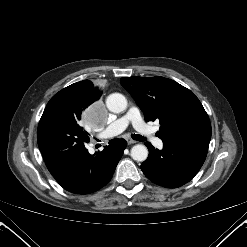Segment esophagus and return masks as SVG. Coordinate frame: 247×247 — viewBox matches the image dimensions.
I'll use <instances>...</instances> for the list:
<instances>
[{
	"label": "esophagus",
	"instance_id": "esophagus-1",
	"mask_svg": "<svg viewBox=\"0 0 247 247\" xmlns=\"http://www.w3.org/2000/svg\"><path fill=\"white\" fill-rule=\"evenodd\" d=\"M127 143H128V145H131V144L136 143V141H134V140L128 138V139H127Z\"/></svg>",
	"mask_w": 247,
	"mask_h": 247
}]
</instances>
